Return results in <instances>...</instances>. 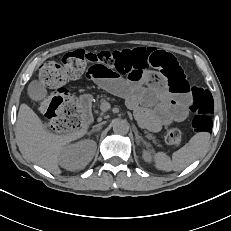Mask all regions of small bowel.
I'll return each instance as SVG.
<instances>
[{
	"label": "small bowel",
	"instance_id": "obj_1",
	"mask_svg": "<svg viewBox=\"0 0 231 231\" xmlns=\"http://www.w3.org/2000/svg\"><path fill=\"white\" fill-rule=\"evenodd\" d=\"M86 77L103 90L126 99L138 119L149 129L186 119L190 103L187 95H173L165 86L159 72L144 71L138 76L123 78L112 68L92 65Z\"/></svg>",
	"mask_w": 231,
	"mask_h": 231
}]
</instances>
